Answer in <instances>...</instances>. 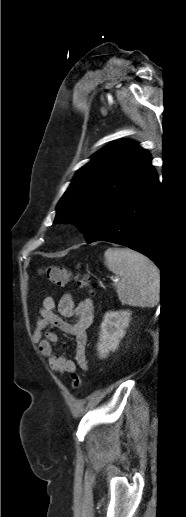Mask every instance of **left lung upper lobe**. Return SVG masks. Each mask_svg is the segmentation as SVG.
I'll list each match as a JSON object with an SVG mask.
<instances>
[{"label":"left lung upper lobe","instance_id":"obj_1","mask_svg":"<svg viewBox=\"0 0 186 517\" xmlns=\"http://www.w3.org/2000/svg\"><path fill=\"white\" fill-rule=\"evenodd\" d=\"M151 166V156L130 140L110 144L78 170L59 201L54 223L77 224L88 243L113 205Z\"/></svg>","mask_w":186,"mask_h":517}]
</instances>
